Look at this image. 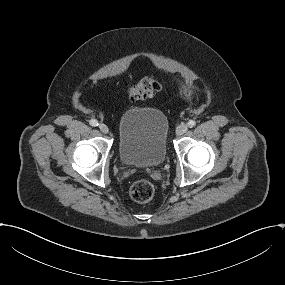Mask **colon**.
Returning <instances> with one entry per match:
<instances>
[{
  "label": "colon",
  "mask_w": 285,
  "mask_h": 285,
  "mask_svg": "<svg viewBox=\"0 0 285 285\" xmlns=\"http://www.w3.org/2000/svg\"><path fill=\"white\" fill-rule=\"evenodd\" d=\"M164 86V81L152 76H145L128 86V97L131 101H141L153 97ZM191 92L188 90V95ZM130 196L137 203L149 202L155 193L154 185L147 180L135 181L130 187Z\"/></svg>",
  "instance_id": "1"
}]
</instances>
